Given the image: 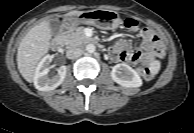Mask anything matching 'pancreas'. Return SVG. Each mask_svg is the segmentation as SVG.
<instances>
[{
	"instance_id": "cf45deb5",
	"label": "pancreas",
	"mask_w": 194,
	"mask_h": 133,
	"mask_svg": "<svg viewBox=\"0 0 194 133\" xmlns=\"http://www.w3.org/2000/svg\"><path fill=\"white\" fill-rule=\"evenodd\" d=\"M63 37L68 47L82 46L91 40L85 35L84 27H78L75 31L67 33Z\"/></svg>"
}]
</instances>
